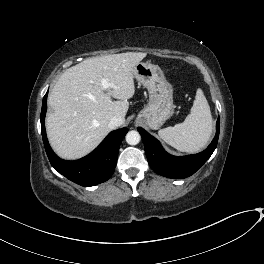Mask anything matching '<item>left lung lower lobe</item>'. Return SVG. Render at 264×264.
I'll list each match as a JSON object with an SVG mask.
<instances>
[{
    "mask_svg": "<svg viewBox=\"0 0 264 264\" xmlns=\"http://www.w3.org/2000/svg\"><path fill=\"white\" fill-rule=\"evenodd\" d=\"M144 142L145 153L151 168L159 175L182 179L194 174L212 155L219 137V117L216 124V135L204 151L188 156H172L161 146L159 141L141 127L137 128Z\"/></svg>",
    "mask_w": 264,
    "mask_h": 264,
    "instance_id": "1",
    "label": "left lung lower lobe"
}]
</instances>
